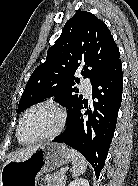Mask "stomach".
<instances>
[{"label": "stomach", "mask_w": 138, "mask_h": 186, "mask_svg": "<svg viewBox=\"0 0 138 186\" xmlns=\"http://www.w3.org/2000/svg\"><path fill=\"white\" fill-rule=\"evenodd\" d=\"M71 161V153L60 143L41 144L30 155L12 159L0 173V186H35L38 177Z\"/></svg>", "instance_id": "obj_1"}]
</instances>
